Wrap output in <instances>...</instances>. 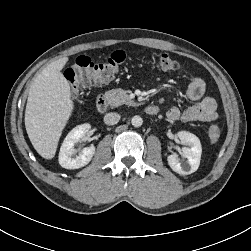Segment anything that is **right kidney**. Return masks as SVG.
<instances>
[{
  "mask_svg": "<svg viewBox=\"0 0 251 251\" xmlns=\"http://www.w3.org/2000/svg\"><path fill=\"white\" fill-rule=\"evenodd\" d=\"M90 128V124H82L76 126L68 133L59 152V164L63 168L78 169L84 167L91 161L95 153L94 146L86 147L79 155L73 156L76 152L74 144L83 138Z\"/></svg>",
  "mask_w": 251,
  "mask_h": 251,
  "instance_id": "obj_1",
  "label": "right kidney"
}]
</instances>
